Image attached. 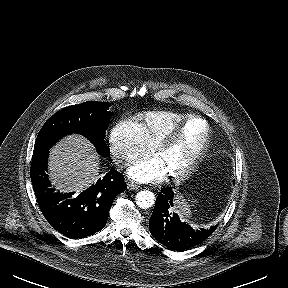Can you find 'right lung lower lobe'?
Here are the masks:
<instances>
[{"label":"right lung lower lobe","instance_id":"1","mask_svg":"<svg viewBox=\"0 0 288 288\" xmlns=\"http://www.w3.org/2000/svg\"><path fill=\"white\" fill-rule=\"evenodd\" d=\"M47 158L48 149L35 151L30 174L39 207L49 224L71 238L100 231L107 222L113 200L126 190L122 175L112 168L95 185L72 197L73 193L59 194L50 188Z\"/></svg>","mask_w":288,"mask_h":288}]
</instances>
